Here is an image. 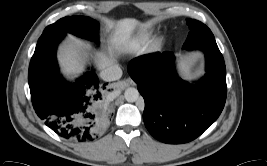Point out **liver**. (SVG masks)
<instances>
[{
    "mask_svg": "<svg viewBox=\"0 0 267 166\" xmlns=\"http://www.w3.org/2000/svg\"><path fill=\"white\" fill-rule=\"evenodd\" d=\"M138 24L139 22L132 18H125L118 21L112 38V48H115L116 50L126 48L132 33ZM87 48H89L88 45L73 37L60 47L59 61L64 73L76 74L82 70L86 58L85 49ZM97 57L98 66L101 69L111 66L115 61L112 57L111 49H109V55L104 52H99L97 53ZM185 73L186 77H188L186 69Z\"/></svg>",
    "mask_w": 267,
    "mask_h": 166,
    "instance_id": "liver-1",
    "label": "liver"
}]
</instances>
